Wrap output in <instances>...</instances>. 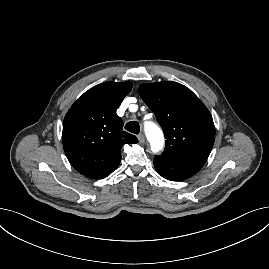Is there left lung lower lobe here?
<instances>
[{
  "label": "left lung lower lobe",
  "instance_id": "1",
  "mask_svg": "<svg viewBox=\"0 0 269 269\" xmlns=\"http://www.w3.org/2000/svg\"><path fill=\"white\" fill-rule=\"evenodd\" d=\"M205 164L198 159L155 156L154 167L158 174L171 181H182L195 175Z\"/></svg>",
  "mask_w": 269,
  "mask_h": 269
}]
</instances>
